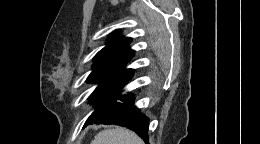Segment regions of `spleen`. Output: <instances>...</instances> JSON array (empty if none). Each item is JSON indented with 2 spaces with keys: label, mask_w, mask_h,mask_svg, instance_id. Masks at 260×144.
Segmentation results:
<instances>
[{
  "label": "spleen",
  "mask_w": 260,
  "mask_h": 144,
  "mask_svg": "<svg viewBox=\"0 0 260 144\" xmlns=\"http://www.w3.org/2000/svg\"><path fill=\"white\" fill-rule=\"evenodd\" d=\"M91 144H143V141L132 131L118 127L100 131Z\"/></svg>",
  "instance_id": "obj_1"
}]
</instances>
